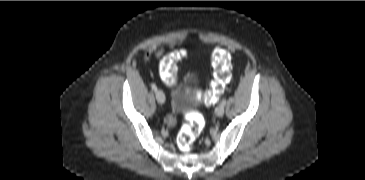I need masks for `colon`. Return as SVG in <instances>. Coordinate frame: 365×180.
<instances>
[{"label": "colon", "instance_id": "5ec220e1", "mask_svg": "<svg viewBox=\"0 0 365 180\" xmlns=\"http://www.w3.org/2000/svg\"><path fill=\"white\" fill-rule=\"evenodd\" d=\"M183 50H176L167 56L161 64V77L167 84H174L176 79L175 63L184 58ZM214 77L205 91H197L200 100L205 104H214L223 92L230 79L231 60L228 53L222 48H215L211 53ZM204 119L197 113H191L186 117V123L181 128L177 143L181 151L188 153L193 142L203 130Z\"/></svg>", "mask_w": 365, "mask_h": 180}]
</instances>
